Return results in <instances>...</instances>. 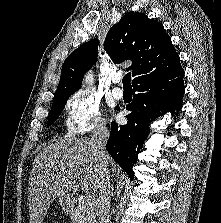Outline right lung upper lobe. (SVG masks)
<instances>
[{
	"label": "right lung upper lobe",
	"mask_w": 221,
	"mask_h": 223,
	"mask_svg": "<svg viewBox=\"0 0 221 223\" xmlns=\"http://www.w3.org/2000/svg\"><path fill=\"white\" fill-rule=\"evenodd\" d=\"M98 44V40L93 39L64 61L53 101L68 98L80 88L84 74L97 59ZM104 48L114 63L132 60L133 84L161 77L180 65L163 25L144 13L127 12L107 33Z\"/></svg>",
	"instance_id": "cb5924a9"
}]
</instances>
